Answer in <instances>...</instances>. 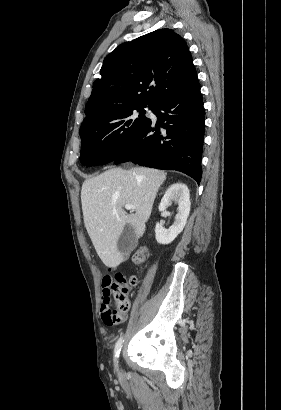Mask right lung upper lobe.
<instances>
[{"label":"right lung upper lobe","instance_id":"cb5924a9","mask_svg":"<svg viewBox=\"0 0 281 410\" xmlns=\"http://www.w3.org/2000/svg\"><path fill=\"white\" fill-rule=\"evenodd\" d=\"M83 121L131 105L152 107L197 82L190 51L180 35L159 29L119 45L104 59Z\"/></svg>","mask_w":281,"mask_h":410}]
</instances>
